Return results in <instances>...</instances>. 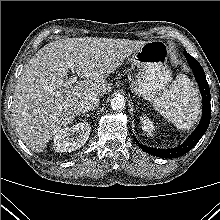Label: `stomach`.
<instances>
[{"instance_id":"1","label":"stomach","mask_w":220,"mask_h":220,"mask_svg":"<svg viewBox=\"0 0 220 220\" xmlns=\"http://www.w3.org/2000/svg\"><path fill=\"white\" fill-rule=\"evenodd\" d=\"M168 56V47L160 40L146 42L133 53L131 62L138 72L130 84V90L135 95L155 101L167 91L172 80L167 67Z\"/></svg>"}]
</instances>
